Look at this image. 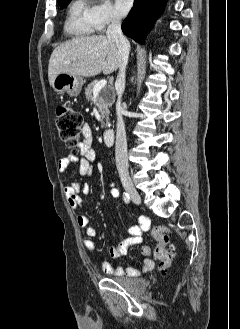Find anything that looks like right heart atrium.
<instances>
[{"mask_svg": "<svg viewBox=\"0 0 240 329\" xmlns=\"http://www.w3.org/2000/svg\"><path fill=\"white\" fill-rule=\"evenodd\" d=\"M91 20L98 32H104L109 26L119 23L120 18L106 1L95 2L91 7Z\"/></svg>", "mask_w": 240, "mask_h": 329, "instance_id": "right-heart-atrium-1", "label": "right heart atrium"}]
</instances>
